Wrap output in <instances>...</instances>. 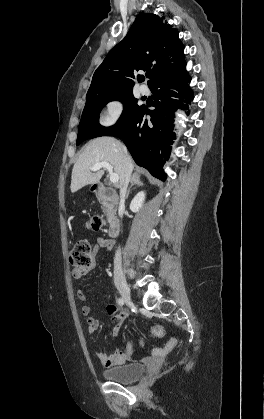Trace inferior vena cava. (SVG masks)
<instances>
[{"mask_svg":"<svg viewBox=\"0 0 264 419\" xmlns=\"http://www.w3.org/2000/svg\"><path fill=\"white\" fill-rule=\"evenodd\" d=\"M124 151H125V181H124L123 186L120 188V207L124 206V202H125V198L127 194V187L131 179V172H132V164L128 158L127 149L124 148ZM121 267H122L121 253L118 250L114 258V268L116 270H121Z\"/></svg>","mask_w":264,"mask_h":419,"instance_id":"obj_1","label":"inferior vena cava"}]
</instances>
